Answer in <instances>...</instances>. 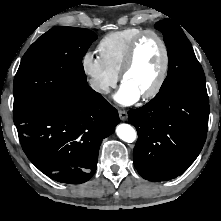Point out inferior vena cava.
<instances>
[{
	"label": "inferior vena cava",
	"instance_id": "inferior-vena-cava-1",
	"mask_svg": "<svg viewBox=\"0 0 221 221\" xmlns=\"http://www.w3.org/2000/svg\"><path fill=\"white\" fill-rule=\"evenodd\" d=\"M90 86L92 89H94L97 92H100V91L108 92L109 91V87L106 84L96 81V80H91Z\"/></svg>",
	"mask_w": 221,
	"mask_h": 221
}]
</instances>
